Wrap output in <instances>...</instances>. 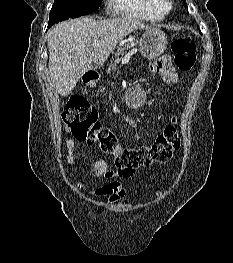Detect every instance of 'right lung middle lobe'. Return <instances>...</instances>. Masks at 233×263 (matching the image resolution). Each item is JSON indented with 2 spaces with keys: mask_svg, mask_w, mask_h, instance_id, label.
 Returning a JSON list of instances; mask_svg holds the SVG:
<instances>
[{
  "mask_svg": "<svg viewBox=\"0 0 233 263\" xmlns=\"http://www.w3.org/2000/svg\"><path fill=\"white\" fill-rule=\"evenodd\" d=\"M102 0H55L50 11L49 22L58 23L96 11Z\"/></svg>",
  "mask_w": 233,
  "mask_h": 263,
  "instance_id": "1",
  "label": "right lung middle lobe"
}]
</instances>
